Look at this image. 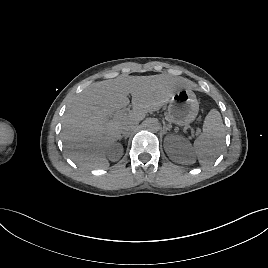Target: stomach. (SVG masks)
I'll list each match as a JSON object with an SVG mask.
<instances>
[{"label": "stomach", "mask_w": 268, "mask_h": 268, "mask_svg": "<svg viewBox=\"0 0 268 268\" xmlns=\"http://www.w3.org/2000/svg\"><path fill=\"white\" fill-rule=\"evenodd\" d=\"M199 112V103L194 92L189 88H181L170 99L168 119L178 126L192 123Z\"/></svg>", "instance_id": "stomach-1"}]
</instances>
